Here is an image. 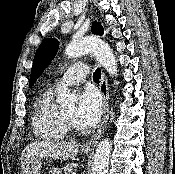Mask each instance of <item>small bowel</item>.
Returning a JSON list of instances; mask_svg holds the SVG:
<instances>
[{
	"label": "small bowel",
	"mask_w": 175,
	"mask_h": 174,
	"mask_svg": "<svg viewBox=\"0 0 175 174\" xmlns=\"http://www.w3.org/2000/svg\"><path fill=\"white\" fill-rule=\"evenodd\" d=\"M53 174H58L57 172H54Z\"/></svg>",
	"instance_id": "obj_1"
}]
</instances>
